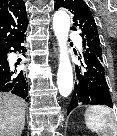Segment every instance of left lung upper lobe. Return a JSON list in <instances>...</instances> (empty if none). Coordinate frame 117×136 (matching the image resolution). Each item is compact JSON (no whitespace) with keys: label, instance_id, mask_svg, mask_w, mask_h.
<instances>
[{"label":"left lung upper lobe","instance_id":"5c2ea615","mask_svg":"<svg viewBox=\"0 0 117 136\" xmlns=\"http://www.w3.org/2000/svg\"><path fill=\"white\" fill-rule=\"evenodd\" d=\"M60 7L68 9L74 15L72 29L81 30L84 54H93L103 63L102 45L88 5L83 0H57L55 10Z\"/></svg>","mask_w":117,"mask_h":136}]
</instances>
